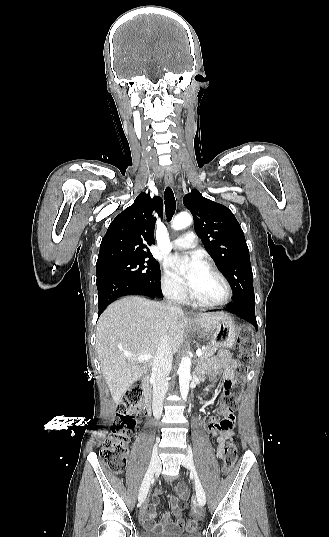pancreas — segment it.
<instances>
[{
	"label": "pancreas",
	"instance_id": "obj_1",
	"mask_svg": "<svg viewBox=\"0 0 329 537\" xmlns=\"http://www.w3.org/2000/svg\"><path fill=\"white\" fill-rule=\"evenodd\" d=\"M217 348L212 346H207L202 350V355L199 358V362L203 363L209 359L215 352Z\"/></svg>",
	"mask_w": 329,
	"mask_h": 537
}]
</instances>
